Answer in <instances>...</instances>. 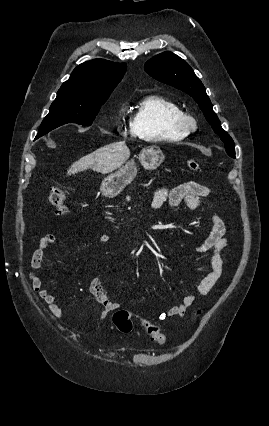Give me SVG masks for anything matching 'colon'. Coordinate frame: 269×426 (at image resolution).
I'll return each instance as SVG.
<instances>
[{"mask_svg":"<svg viewBox=\"0 0 269 426\" xmlns=\"http://www.w3.org/2000/svg\"><path fill=\"white\" fill-rule=\"evenodd\" d=\"M186 165L193 171L199 170V163L195 159H187ZM49 202L54 208L55 212L60 215L67 213V197L60 186H55L49 193ZM113 323L115 327L121 332H130L133 329L132 316L129 311L119 309L113 314ZM147 332L152 343L164 344L166 336L156 326H148Z\"/></svg>","mask_w":269,"mask_h":426,"instance_id":"obj_1","label":"colon"}]
</instances>
